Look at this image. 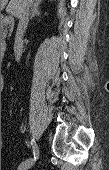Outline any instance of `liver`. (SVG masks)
<instances>
[{
    "label": "liver",
    "instance_id": "1",
    "mask_svg": "<svg viewBox=\"0 0 109 170\" xmlns=\"http://www.w3.org/2000/svg\"><path fill=\"white\" fill-rule=\"evenodd\" d=\"M7 2L8 0H1V7L4 8L7 5ZM21 7L22 0H10L6 10L8 13H11L16 18H19L21 13Z\"/></svg>",
    "mask_w": 109,
    "mask_h": 170
}]
</instances>
